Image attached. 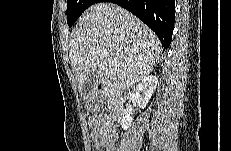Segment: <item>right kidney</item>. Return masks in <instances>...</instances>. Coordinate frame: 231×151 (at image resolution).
<instances>
[{
  "instance_id": "1",
  "label": "right kidney",
  "mask_w": 231,
  "mask_h": 151,
  "mask_svg": "<svg viewBox=\"0 0 231 151\" xmlns=\"http://www.w3.org/2000/svg\"><path fill=\"white\" fill-rule=\"evenodd\" d=\"M158 84V78L155 75L146 76L135 89V101L139 108L144 109L151 99L154 90ZM133 118L131 114L124 110L121 117V126L124 130H127L132 124Z\"/></svg>"
}]
</instances>
